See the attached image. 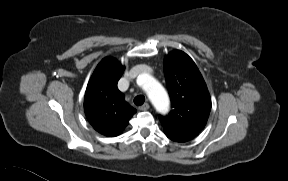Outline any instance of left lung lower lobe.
Segmentation results:
<instances>
[{"label": "left lung lower lobe", "instance_id": "obj_1", "mask_svg": "<svg viewBox=\"0 0 288 181\" xmlns=\"http://www.w3.org/2000/svg\"><path fill=\"white\" fill-rule=\"evenodd\" d=\"M171 140L176 141V142H186V141H189L190 139L183 138V139H171Z\"/></svg>", "mask_w": 288, "mask_h": 181}]
</instances>
